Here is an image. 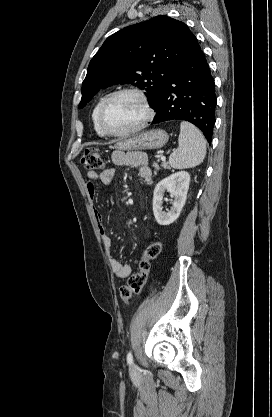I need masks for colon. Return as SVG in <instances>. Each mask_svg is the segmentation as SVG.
I'll use <instances>...</instances> for the list:
<instances>
[{
    "label": "colon",
    "mask_w": 272,
    "mask_h": 417,
    "mask_svg": "<svg viewBox=\"0 0 272 417\" xmlns=\"http://www.w3.org/2000/svg\"><path fill=\"white\" fill-rule=\"evenodd\" d=\"M81 163L88 170L103 169L105 166L104 160L95 148H87L84 151ZM163 247L162 242H153L146 248L139 262V272L132 274L119 289L123 304L128 305L130 299L142 291L150 272V261L162 252Z\"/></svg>",
    "instance_id": "colon-1"
}]
</instances>
